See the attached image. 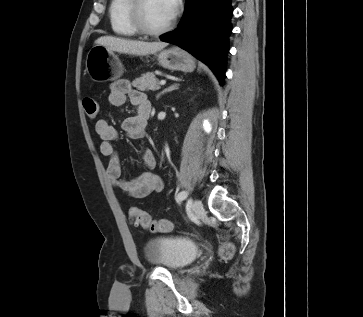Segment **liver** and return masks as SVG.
<instances>
[{"label": "liver", "mask_w": 363, "mask_h": 317, "mask_svg": "<svg viewBox=\"0 0 363 317\" xmlns=\"http://www.w3.org/2000/svg\"><path fill=\"white\" fill-rule=\"evenodd\" d=\"M95 45H102L109 50L119 53L147 56L162 50L168 45V43L144 42L121 39L112 36H102L95 41Z\"/></svg>", "instance_id": "obj_1"}]
</instances>
